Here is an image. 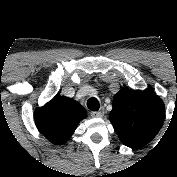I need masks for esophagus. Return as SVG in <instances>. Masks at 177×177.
Instances as JSON below:
<instances>
[{
  "label": "esophagus",
  "instance_id": "obj_1",
  "mask_svg": "<svg viewBox=\"0 0 177 177\" xmlns=\"http://www.w3.org/2000/svg\"><path fill=\"white\" fill-rule=\"evenodd\" d=\"M103 115H104V110L103 109H101L100 111L91 112L92 117L101 118V117H103Z\"/></svg>",
  "mask_w": 177,
  "mask_h": 177
}]
</instances>
